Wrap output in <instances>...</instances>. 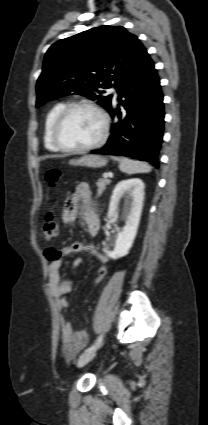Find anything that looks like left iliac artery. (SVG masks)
Masks as SVG:
<instances>
[{
    "mask_svg": "<svg viewBox=\"0 0 208 425\" xmlns=\"http://www.w3.org/2000/svg\"><path fill=\"white\" fill-rule=\"evenodd\" d=\"M102 340H103V335H100L95 341V343L91 345L88 349H86L85 352H89V351L97 349L101 345Z\"/></svg>",
    "mask_w": 208,
    "mask_h": 425,
    "instance_id": "44dca946",
    "label": "left iliac artery"
}]
</instances>
